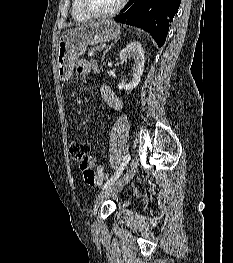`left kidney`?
Returning a JSON list of instances; mask_svg holds the SVG:
<instances>
[{
    "mask_svg": "<svg viewBox=\"0 0 233 263\" xmlns=\"http://www.w3.org/2000/svg\"><path fill=\"white\" fill-rule=\"evenodd\" d=\"M133 58L135 60V64L133 66V79L129 83L121 82L118 84L119 90L131 91L136 88L140 82V78L143 74L144 70V50L142 45L137 42L129 43L120 53V60L122 62H126L127 59Z\"/></svg>",
    "mask_w": 233,
    "mask_h": 263,
    "instance_id": "1",
    "label": "left kidney"
}]
</instances>
